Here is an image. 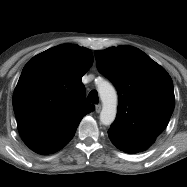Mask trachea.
Returning <instances> with one entry per match:
<instances>
[{
  "label": "trachea",
  "mask_w": 187,
  "mask_h": 187,
  "mask_svg": "<svg viewBox=\"0 0 187 187\" xmlns=\"http://www.w3.org/2000/svg\"><path fill=\"white\" fill-rule=\"evenodd\" d=\"M86 102L98 104V93L95 90H92L87 97Z\"/></svg>",
  "instance_id": "trachea-1"
}]
</instances>
